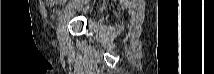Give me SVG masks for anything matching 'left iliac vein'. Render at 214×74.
<instances>
[{
  "label": "left iliac vein",
  "instance_id": "left-iliac-vein-1",
  "mask_svg": "<svg viewBox=\"0 0 214 74\" xmlns=\"http://www.w3.org/2000/svg\"><path fill=\"white\" fill-rule=\"evenodd\" d=\"M74 11L75 9L70 8L66 13L63 14V16L59 20L57 35L58 40L61 44L64 43L67 22L69 18L74 14Z\"/></svg>",
  "mask_w": 214,
  "mask_h": 74
}]
</instances>
